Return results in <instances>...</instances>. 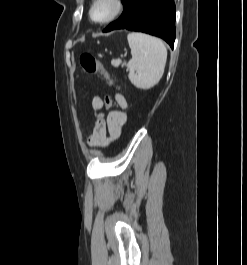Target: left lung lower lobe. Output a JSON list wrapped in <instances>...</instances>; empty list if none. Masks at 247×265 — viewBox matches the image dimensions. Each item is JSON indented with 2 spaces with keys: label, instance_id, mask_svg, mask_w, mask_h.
<instances>
[{
  "label": "left lung lower lobe",
  "instance_id": "1",
  "mask_svg": "<svg viewBox=\"0 0 247 265\" xmlns=\"http://www.w3.org/2000/svg\"><path fill=\"white\" fill-rule=\"evenodd\" d=\"M120 18L103 32L117 29L145 32L164 39L172 48L175 40V4L173 0H122Z\"/></svg>",
  "mask_w": 247,
  "mask_h": 265
}]
</instances>
